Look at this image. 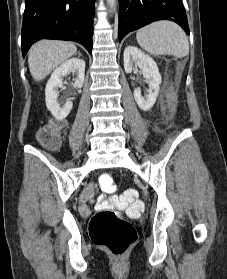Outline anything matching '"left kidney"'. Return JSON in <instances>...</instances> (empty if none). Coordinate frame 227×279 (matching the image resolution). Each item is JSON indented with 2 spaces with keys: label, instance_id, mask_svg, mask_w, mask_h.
<instances>
[{
  "label": "left kidney",
  "instance_id": "obj_1",
  "mask_svg": "<svg viewBox=\"0 0 227 279\" xmlns=\"http://www.w3.org/2000/svg\"><path fill=\"white\" fill-rule=\"evenodd\" d=\"M134 67H139L146 79L149 89L148 95L142 96L140 89H134V98L139 108L148 111L156 102L162 81L157 64L149 56L134 46H128L124 50V69L126 73L132 72Z\"/></svg>",
  "mask_w": 227,
  "mask_h": 279
}]
</instances>
